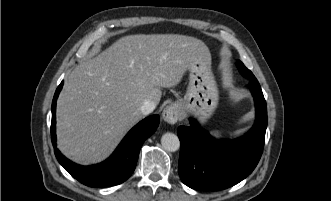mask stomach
Returning a JSON list of instances; mask_svg holds the SVG:
<instances>
[{
	"instance_id": "1",
	"label": "stomach",
	"mask_w": 331,
	"mask_h": 201,
	"mask_svg": "<svg viewBox=\"0 0 331 201\" xmlns=\"http://www.w3.org/2000/svg\"><path fill=\"white\" fill-rule=\"evenodd\" d=\"M188 72L187 92L177 106L183 114L190 113L201 123H206L213 115L219 99L209 51L194 58L189 63Z\"/></svg>"
}]
</instances>
